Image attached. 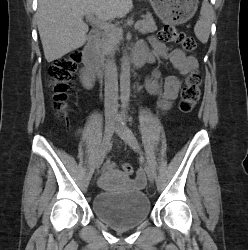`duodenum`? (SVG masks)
Listing matches in <instances>:
<instances>
[{
    "mask_svg": "<svg viewBox=\"0 0 248 250\" xmlns=\"http://www.w3.org/2000/svg\"><path fill=\"white\" fill-rule=\"evenodd\" d=\"M100 43V35L97 28L91 30L87 43L83 49V63L98 77L102 78L104 68L102 61L98 55V48ZM148 60L146 54L137 52L127 60V64L131 67L138 68Z\"/></svg>",
    "mask_w": 248,
    "mask_h": 250,
    "instance_id": "1",
    "label": "duodenum"
}]
</instances>
